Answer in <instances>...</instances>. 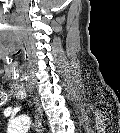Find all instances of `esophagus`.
Listing matches in <instances>:
<instances>
[{
    "label": "esophagus",
    "mask_w": 120,
    "mask_h": 133,
    "mask_svg": "<svg viewBox=\"0 0 120 133\" xmlns=\"http://www.w3.org/2000/svg\"><path fill=\"white\" fill-rule=\"evenodd\" d=\"M34 104H35V108H36V115H35V121H36V125L38 127L39 132L43 131L42 128V111H41V107L39 104V100L37 99V97H34Z\"/></svg>",
    "instance_id": "34e87169"
}]
</instances>
